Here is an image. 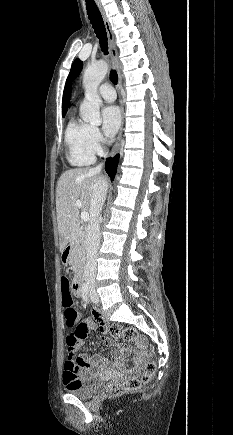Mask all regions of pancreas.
Instances as JSON below:
<instances>
[{"label":"pancreas","instance_id":"1","mask_svg":"<svg viewBox=\"0 0 233 435\" xmlns=\"http://www.w3.org/2000/svg\"><path fill=\"white\" fill-rule=\"evenodd\" d=\"M84 231H80L78 236L75 238L71 252H70V264L75 273L79 272L84 264L85 260V239Z\"/></svg>","mask_w":233,"mask_h":435}]
</instances>
